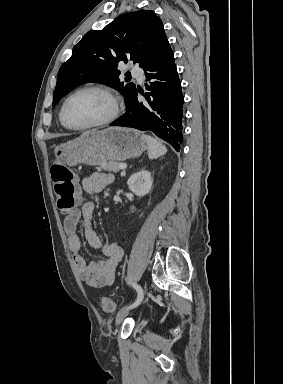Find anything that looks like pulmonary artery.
<instances>
[{
    "label": "pulmonary artery",
    "instance_id": "pulmonary-artery-1",
    "mask_svg": "<svg viewBox=\"0 0 283 384\" xmlns=\"http://www.w3.org/2000/svg\"><path fill=\"white\" fill-rule=\"evenodd\" d=\"M131 75L134 76H143L142 74V68H137L135 65L131 68Z\"/></svg>",
    "mask_w": 283,
    "mask_h": 384
}]
</instances>
